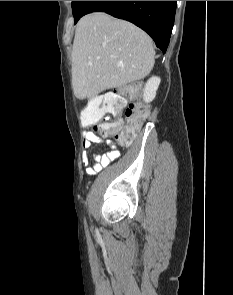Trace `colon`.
I'll use <instances>...</instances> for the list:
<instances>
[{
	"instance_id": "colon-1",
	"label": "colon",
	"mask_w": 233,
	"mask_h": 295,
	"mask_svg": "<svg viewBox=\"0 0 233 295\" xmlns=\"http://www.w3.org/2000/svg\"><path fill=\"white\" fill-rule=\"evenodd\" d=\"M140 89V84H130L90 102L81 113L82 121L94 124L96 131L113 137L118 144L130 145L148 116L147 108L133 101ZM123 112L124 118L96 124L101 118L117 117Z\"/></svg>"
}]
</instances>
